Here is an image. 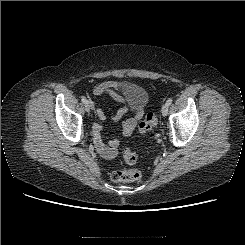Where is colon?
Wrapping results in <instances>:
<instances>
[{
    "mask_svg": "<svg viewBox=\"0 0 245 245\" xmlns=\"http://www.w3.org/2000/svg\"><path fill=\"white\" fill-rule=\"evenodd\" d=\"M157 124V118L155 114L148 113L145 117V119L139 124V132L142 134H151V136L155 137L154 134H152L153 128ZM124 159L127 163L133 164L137 160V154L134 150L130 148H126L124 151ZM142 174L139 170L132 169V170H115L111 174V178L113 181L116 182H133L140 180Z\"/></svg>",
    "mask_w": 245,
    "mask_h": 245,
    "instance_id": "colon-1",
    "label": "colon"
}]
</instances>
